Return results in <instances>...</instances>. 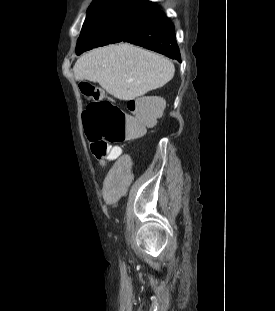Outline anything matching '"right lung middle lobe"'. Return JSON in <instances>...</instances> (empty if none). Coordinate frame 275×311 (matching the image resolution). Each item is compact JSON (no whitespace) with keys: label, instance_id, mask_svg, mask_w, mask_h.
Listing matches in <instances>:
<instances>
[{"label":"right lung middle lobe","instance_id":"right-lung-middle-lobe-1","mask_svg":"<svg viewBox=\"0 0 275 311\" xmlns=\"http://www.w3.org/2000/svg\"><path fill=\"white\" fill-rule=\"evenodd\" d=\"M158 10L144 0H94L77 41L76 54L122 41L135 24Z\"/></svg>","mask_w":275,"mask_h":311}]
</instances>
